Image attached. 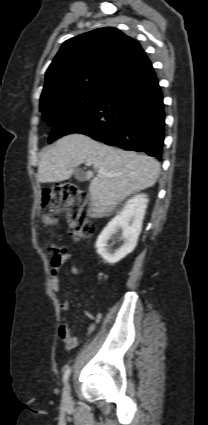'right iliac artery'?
I'll return each mask as SVG.
<instances>
[{
	"mask_svg": "<svg viewBox=\"0 0 208 425\" xmlns=\"http://www.w3.org/2000/svg\"><path fill=\"white\" fill-rule=\"evenodd\" d=\"M70 373H71V368H70V367H68V368L65 370L64 375H63V382H64V383H67V381H68V379H69V376H70Z\"/></svg>",
	"mask_w": 208,
	"mask_h": 425,
	"instance_id": "82829eb1",
	"label": "right iliac artery"
}]
</instances>
